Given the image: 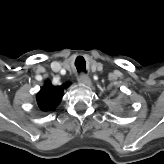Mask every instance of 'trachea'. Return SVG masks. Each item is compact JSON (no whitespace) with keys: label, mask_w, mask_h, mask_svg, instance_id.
<instances>
[{"label":"trachea","mask_w":164,"mask_h":164,"mask_svg":"<svg viewBox=\"0 0 164 164\" xmlns=\"http://www.w3.org/2000/svg\"><path fill=\"white\" fill-rule=\"evenodd\" d=\"M75 65H76V68L78 70V72H85L86 70V63H85V60L82 58V57H78L75 61Z\"/></svg>","instance_id":"1"}]
</instances>
